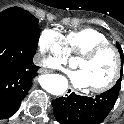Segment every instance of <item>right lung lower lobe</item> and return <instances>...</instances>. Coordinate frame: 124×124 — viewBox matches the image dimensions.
Returning <instances> with one entry per match:
<instances>
[{
    "mask_svg": "<svg viewBox=\"0 0 124 124\" xmlns=\"http://www.w3.org/2000/svg\"><path fill=\"white\" fill-rule=\"evenodd\" d=\"M38 34H0V119L14 115L37 76Z\"/></svg>",
    "mask_w": 124,
    "mask_h": 124,
    "instance_id": "98d812e1",
    "label": "right lung lower lobe"
}]
</instances>
